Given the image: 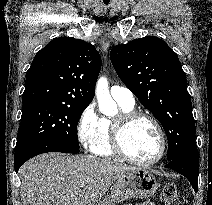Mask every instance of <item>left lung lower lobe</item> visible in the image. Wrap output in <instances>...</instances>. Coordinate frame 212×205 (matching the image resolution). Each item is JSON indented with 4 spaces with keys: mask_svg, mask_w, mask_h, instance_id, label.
<instances>
[{
    "mask_svg": "<svg viewBox=\"0 0 212 205\" xmlns=\"http://www.w3.org/2000/svg\"><path fill=\"white\" fill-rule=\"evenodd\" d=\"M166 168H170L185 176L191 183L195 192L198 189V175H199V159L198 152L191 153L177 160L169 162Z\"/></svg>",
    "mask_w": 212,
    "mask_h": 205,
    "instance_id": "obj_1",
    "label": "left lung lower lobe"
}]
</instances>
